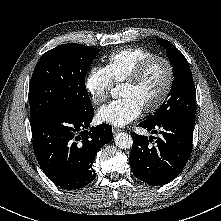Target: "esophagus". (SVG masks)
<instances>
[{
  "instance_id": "34e87169",
  "label": "esophagus",
  "mask_w": 221,
  "mask_h": 221,
  "mask_svg": "<svg viewBox=\"0 0 221 221\" xmlns=\"http://www.w3.org/2000/svg\"><path fill=\"white\" fill-rule=\"evenodd\" d=\"M112 130L114 134L119 133L121 131V129L117 127H113Z\"/></svg>"
}]
</instances>
